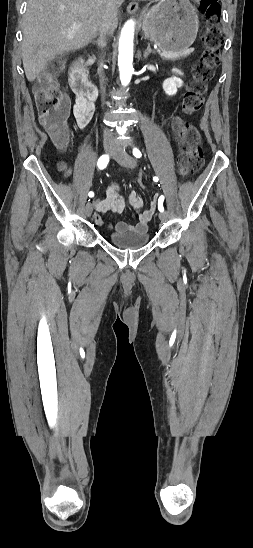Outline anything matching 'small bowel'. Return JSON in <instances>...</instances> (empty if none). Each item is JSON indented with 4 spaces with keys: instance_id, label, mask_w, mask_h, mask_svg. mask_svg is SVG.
<instances>
[{
    "instance_id": "1",
    "label": "small bowel",
    "mask_w": 253,
    "mask_h": 548,
    "mask_svg": "<svg viewBox=\"0 0 253 548\" xmlns=\"http://www.w3.org/2000/svg\"><path fill=\"white\" fill-rule=\"evenodd\" d=\"M94 103L81 97H76L74 105V116L77 124L80 128H84L90 122L93 112ZM70 172H68V175ZM143 199L134 191H130L126 194L121 193L120 186L113 182L109 184L105 191V197L103 199H97L94 201V207L96 213L94 220L98 225L103 224V220L100 217V213L113 212L121 214L127 207H131L138 214V223L135 225L128 224L126 222H119L115 225V231L117 232H145L148 227V223L151 220L155 207L152 206L149 210L143 209Z\"/></svg>"
}]
</instances>
